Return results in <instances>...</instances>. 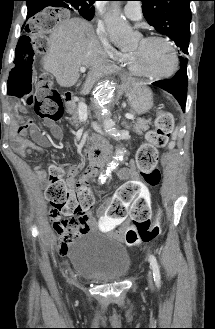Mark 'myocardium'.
<instances>
[{"instance_id": "1", "label": "myocardium", "mask_w": 215, "mask_h": 329, "mask_svg": "<svg viewBox=\"0 0 215 329\" xmlns=\"http://www.w3.org/2000/svg\"><path fill=\"white\" fill-rule=\"evenodd\" d=\"M142 40L144 43H151L154 41H163V42L167 43L171 47L173 55H174V67L171 71H169L168 73H165V74H160V75L150 74V73L146 72L145 70H143L141 68V66L139 65L140 55L137 53H131L130 59H131V64H132V67H133L135 73L137 75L146 77L151 80H164V79H168V78L174 76L179 69V62H180L179 53H178L176 44L170 38H168L166 36H162V35H149V36L144 37Z\"/></svg>"}]
</instances>
